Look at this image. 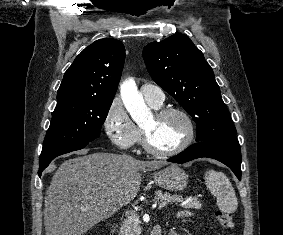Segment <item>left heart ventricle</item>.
<instances>
[{"mask_svg": "<svg viewBox=\"0 0 283 235\" xmlns=\"http://www.w3.org/2000/svg\"><path fill=\"white\" fill-rule=\"evenodd\" d=\"M148 134L150 144L158 150H171L185 137L186 124L177 114H169L160 119L152 115L142 126Z\"/></svg>", "mask_w": 283, "mask_h": 235, "instance_id": "b2bd125f", "label": "left heart ventricle"}]
</instances>
